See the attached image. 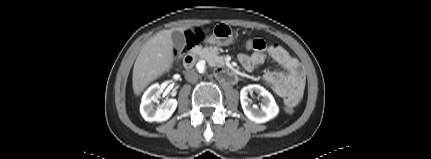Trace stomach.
Listing matches in <instances>:
<instances>
[{
	"label": "stomach",
	"instance_id": "obj_1",
	"mask_svg": "<svg viewBox=\"0 0 431 159\" xmlns=\"http://www.w3.org/2000/svg\"><path fill=\"white\" fill-rule=\"evenodd\" d=\"M234 40L233 31L227 24H217L213 33L206 38V42L209 44H216L218 46L230 45Z\"/></svg>",
	"mask_w": 431,
	"mask_h": 159
}]
</instances>
